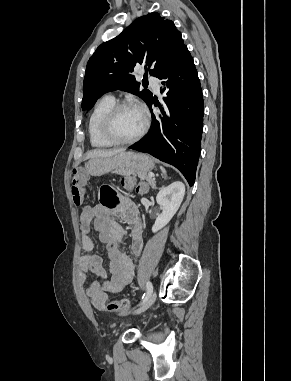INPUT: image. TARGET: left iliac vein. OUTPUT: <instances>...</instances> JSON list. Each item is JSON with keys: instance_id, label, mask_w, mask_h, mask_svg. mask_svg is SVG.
<instances>
[{"instance_id": "left-iliac-vein-1", "label": "left iliac vein", "mask_w": 291, "mask_h": 381, "mask_svg": "<svg viewBox=\"0 0 291 381\" xmlns=\"http://www.w3.org/2000/svg\"><path fill=\"white\" fill-rule=\"evenodd\" d=\"M157 297L156 292H152L151 295L142 303V305L134 312V314H140L146 311L155 302Z\"/></svg>"}]
</instances>
